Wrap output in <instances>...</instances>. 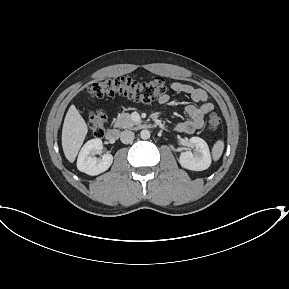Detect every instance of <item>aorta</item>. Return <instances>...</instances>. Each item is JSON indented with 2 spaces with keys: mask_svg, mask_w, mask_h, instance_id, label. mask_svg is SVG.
Masks as SVG:
<instances>
[{
  "mask_svg": "<svg viewBox=\"0 0 289 289\" xmlns=\"http://www.w3.org/2000/svg\"><path fill=\"white\" fill-rule=\"evenodd\" d=\"M140 137H141V139H143V140L149 139V138H150V131H149V130H142V131L140 132Z\"/></svg>",
  "mask_w": 289,
  "mask_h": 289,
  "instance_id": "762f6f07",
  "label": "aorta"
}]
</instances>
